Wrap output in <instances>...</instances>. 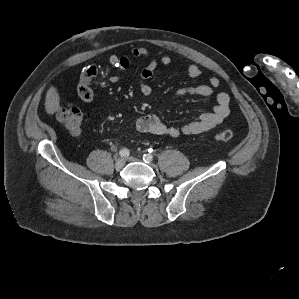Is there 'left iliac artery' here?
I'll use <instances>...</instances> for the list:
<instances>
[{"instance_id": "obj_1", "label": "left iliac artery", "mask_w": 299, "mask_h": 299, "mask_svg": "<svg viewBox=\"0 0 299 299\" xmlns=\"http://www.w3.org/2000/svg\"><path fill=\"white\" fill-rule=\"evenodd\" d=\"M152 159H153V157H152L151 154H144V155H143V160H144L145 162L152 161Z\"/></svg>"}]
</instances>
